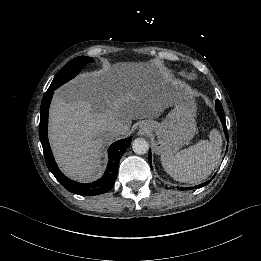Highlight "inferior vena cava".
<instances>
[{
    "label": "inferior vena cava",
    "mask_w": 261,
    "mask_h": 261,
    "mask_svg": "<svg viewBox=\"0 0 261 261\" xmlns=\"http://www.w3.org/2000/svg\"><path fill=\"white\" fill-rule=\"evenodd\" d=\"M108 130L113 136H119L124 133L125 126L115 121L111 125H109Z\"/></svg>",
    "instance_id": "obj_1"
}]
</instances>
